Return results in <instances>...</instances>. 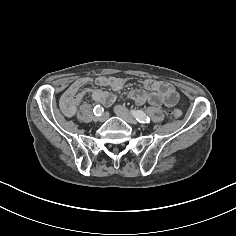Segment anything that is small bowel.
<instances>
[{"mask_svg": "<svg viewBox=\"0 0 236 236\" xmlns=\"http://www.w3.org/2000/svg\"><path fill=\"white\" fill-rule=\"evenodd\" d=\"M88 82V79H77L62 94L60 103L67 116H72L75 113L78 104L86 93H90L93 100L102 106L110 107L120 95L127 80L126 78L117 76H99L93 79L95 84L102 87H109L111 92L100 88L85 87ZM129 96L138 105L148 103L155 107L163 104L167 107H173L178 101V94L171 84L153 79L143 80L141 87L131 90Z\"/></svg>", "mask_w": 236, "mask_h": 236, "instance_id": "1", "label": "small bowel"}]
</instances>
